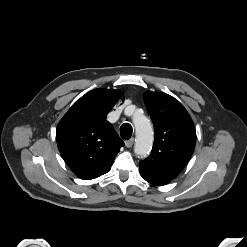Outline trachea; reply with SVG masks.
I'll list each match as a JSON object with an SVG mask.
<instances>
[{
  "instance_id": "3493384b",
  "label": "trachea",
  "mask_w": 247,
  "mask_h": 247,
  "mask_svg": "<svg viewBox=\"0 0 247 247\" xmlns=\"http://www.w3.org/2000/svg\"><path fill=\"white\" fill-rule=\"evenodd\" d=\"M132 131H133L132 126L129 123L122 124L120 127L121 138L124 140L130 139V137L132 135Z\"/></svg>"
}]
</instances>
